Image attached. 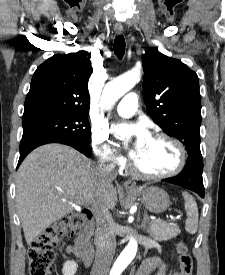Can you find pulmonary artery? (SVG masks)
<instances>
[{"label":"pulmonary artery","instance_id":"obj_1","mask_svg":"<svg viewBox=\"0 0 225 275\" xmlns=\"http://www.w3.org/2000/svg\"><path fill=\"white\" fill-rule=\"evenodd\" d=\"M138 108V96L136 93H127L118 103L116 111L120 116H132Z\"/></svg>","mask_w":225,"mask_h":275}]
</instances>
